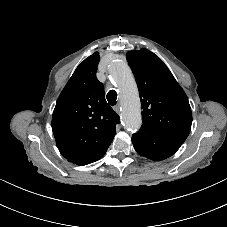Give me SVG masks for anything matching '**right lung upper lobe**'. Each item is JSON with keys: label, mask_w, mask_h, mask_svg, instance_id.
Segmentation results:
<instances>
[{"label": "right lung upper lobe", "mask_w": 227, "mask_h": 227, "mask_svg": "<svg viewBox=\"0 0 227 227\" xmlns=\"http://www.w3.org/2000/svg\"><path fill=\"white\" fill-rule=\"evenodd\" d=\"M98 63L99 53L95 52L76 68L58 97L52 117L60 153L79 166L95 162L106 153L120 122L96 78Z\"/></svg>", "instance_id": "obj_1"}]
</instances>
